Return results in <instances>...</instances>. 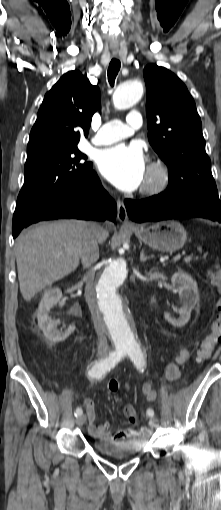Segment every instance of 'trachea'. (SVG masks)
<instances>
[{
	"instance_id": "trachea-1",
	"label": "trachea",
	"mask_w": 221,
	"mask_h": 510,
	"mask_svg": "<svg viewBox=\"0 0 221 510\" xmlns=\"http://www.w3.org/2000/svg\"><path fill=\"white\" fill-rule=\"evenodd\" d=\"M121 63L118 59L113 58L108 67V81L111 86L114 85L115 78L120 70Z\"/></svg>"
}]
</instances>
